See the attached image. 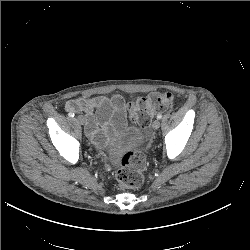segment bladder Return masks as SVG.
Masks as SVG:
<instances>
[{
	"label": "bladder",
	"instance_id": "bladder-1",
	"mask_svg": "<svg viewBox=\"0 0 250 250\" xmlns=\"http://www.w3.org/2000/svg\"><path fill=\"white\" fill-rule=\"evenodd\" d=\"M120 119L121 116L118 117V121ZM143 144L144 137L138 126L120 123L119 134L114 145L108 149L107 156L112 162L121 161L126 153L141 148Z\"/></svg>",
	"mask_w": 250,
	"mask_h": 250
}]
</instances>
